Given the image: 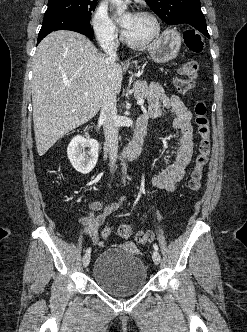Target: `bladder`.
<instances>
[{"mask_svg":"<svg viewBox=\"0 0 247 332\" xmlns=\"http://www.w3.org/2000/svg\"><path fill=\"white\" fill-rule=\"evenodd\" d=\"M93 280L116 297L132 296L148 282L147 268L129 244H116L103 250L93 267Z\"/></svg>","mask_w":247,"mask_h":332,"instance_id":"bladder-1","label":"bladder"}]
</instances>
